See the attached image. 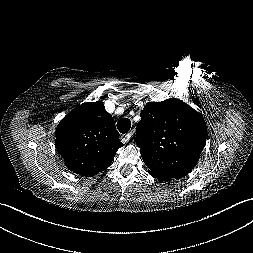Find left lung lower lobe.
Masks as SVG:
<instances>
[{
	"label": "left lung lower lobe",
	"mask_w": 253,
	"mask_h": 253,
	"mask_svg": "<svg viewBox=\"0 0 253 253\" xmlns=\"http://www.w3.org/2000/svg\"><path fill=\"white\" fill-rule=\"evenodd\" d=\"M149 174L152 175L154 178H158V180H160V181H170L172 179V178H168V177L153 175L151 173H149Z\"/></svg>",
	"instance_id": "left-lung-lower-lobe-1"
}]
</instances>
